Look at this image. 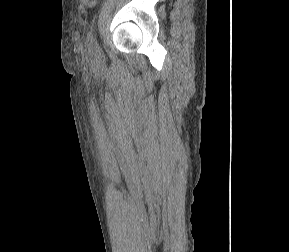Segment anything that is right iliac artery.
Wrapping results in <instances>:
<instances>
[{"label":"right iliac artery","instance_id":"right-iliac-artery-1","mask_svg":"<svg viewBox=\"0 0 289 252\" xmlns=\"http://www.w3.org/2000/svg\"><path fill=\"white\" fill-rule=\"evenodd\" d=\"M95 50L97 53H99V54L101 53V49H100L99 45L97 44V42H95Z\"/></svg>","mask_w":289,"mask_h":252}]
</instances>
